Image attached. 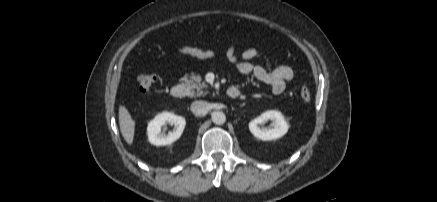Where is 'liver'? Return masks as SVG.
Wrapping results in <instances>:
<instances>
[{
	"instance_id": "6515ba94",
	"label": "liver",
	"mask_w": 437,
	"mask_h": 202,
	"mask_svg": "<svg viewBox=\"0 0 437 202\" xmlns=\"http://www.w3.org/2000/svg\"><path fill=\"white\" fill-rule=\"evenodd\" d=\"M119 126L120 131L125 141L132 145L135 134V120L125 106L119 107Z\"/></svg>"
}]
</instances>
